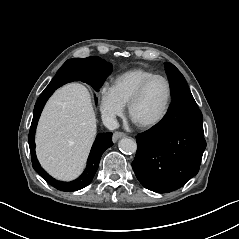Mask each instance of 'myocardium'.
I'll use <instances>...</instances> for the list:
<instances>
[{
  "label": "myocardium",
  "mask_w": 239,
  "mask_h": 239,
  "mask_svg": "<svg viewBox=\"0 0 239 239\" xmlns=\"http://www.w3.org/2000/svg\"><path fill=\"white\" fill-rule=\"evenodd\" d=\"M157 79L164 80L166 82L167 88H168V97H167V101H166V105L164 107V110L153 121H150V122H139V121H137L134 118V109H135L136 105L138 104V102L140 101V99L142 98V96H143L144 92L146 91V89L149 87V85L153 81H155ZM172 100H173V87H172V84H171L170 80L166 76H164V75H160V74L153 75V76L149 77L148 79H146L139 86V88L136 90V92L131 97V99H130L128 105H127L129 117L132 120V122L135 123V125L138 126L141 129H145L146 130V129L155 128L158 125H160L166 119V117L169 114V111L171 109Z\"/></svg>",
  "instance_id": "myocardium-1"
}]
</instances>
